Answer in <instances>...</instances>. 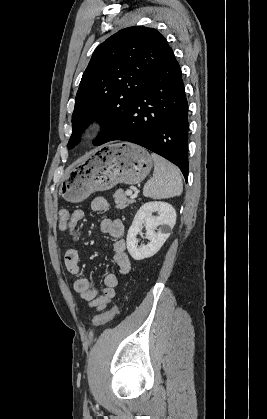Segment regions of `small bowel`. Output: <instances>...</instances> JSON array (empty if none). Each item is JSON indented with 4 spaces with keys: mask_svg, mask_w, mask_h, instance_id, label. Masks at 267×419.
I'll list each match as a JSON object with an SVG mask.
<instances>
[{
    "mask_svg": "<svg viewBox=\"0 0 267 419\" xmlns=\"http://www.w3.org/2000/svg\"><path fill=\"white\" fill-rule=\"evenodd\" d=\"M108 202L103 197H96L91 201L90 208L93 212H105L108 210ZM84 217V211L74 210L70 216L68 225V233L73 240L78 239L75 228L80 220ZM100 229L107 234L113 243V259L117 266V271L110 272L104 277V289L93 286L90 279L82 276L80 267L79 251L76 247H70L65 252L64 262L67 270L75 276L73 288L83 301L88 303L90 307L97 310L104 309L116 295V287L120 283V278L130 271V260L126 253V243L122 238L124 234V224L119 219L104 218L100 223Z\"/></svg>",
    "mask_w": 267,
    "mask_h": 419,
    "instance_id": "c3829d8e",
    "label": "small bowel"
}]
</instances>
